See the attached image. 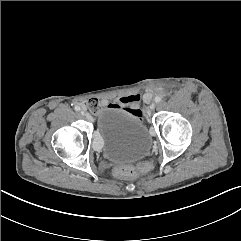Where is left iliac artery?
Masks as SVG:
<instances>
[{
	"mask_svg": "<svg viewBox=\"0 0 241 241\" xmlns=\"http://www.w3.org/2000/svg\"><path fill=\"white\" fill-rule=\"evenodd\" d=\"M161 100H162V99H161L160 96H156V97H155V102H156V103H159Z\"/></svg>",
	"mask_w": 241,
	"mask_h": 241,
	"instance_id": "obj_1",
	"label": "left iliac artery"
}]
</instances>
